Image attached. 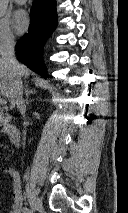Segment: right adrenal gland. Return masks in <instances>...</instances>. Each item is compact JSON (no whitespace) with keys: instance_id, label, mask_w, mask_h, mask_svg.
I'll return each instance as SVG.
<instances>
[{"instance_id":"2a0ac1e0","label":"right adrenal gland","mask_w":128,"mask_h":213,"mask_svg":"<svg viewBox=\"0 0 128 213\" xmlns=\"http://www.w3.org/2000/svg\"><path fill=\"white\" fill-rule=\"evenodd\" d=\"M24 92H25V95H26V100L25 101H26V104H28L29 103V101H28L29 95L36 93V91H33V90L29 89L28 85H26L25 88H24Z\"/></svg>"}]
</instances>
